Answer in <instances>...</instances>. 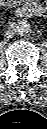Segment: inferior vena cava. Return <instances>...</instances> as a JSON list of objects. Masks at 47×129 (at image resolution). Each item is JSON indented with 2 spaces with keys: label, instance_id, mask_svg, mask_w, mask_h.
I'll return each instance as SVG.
<instances>
[{
  "label": "inferior vena cava",
  "instance_id": "1",
  "mask_svg": "<svg viewBox=\"0 0 47 129\" xmlns=\"http://www.w3.org/2000/svg\"><path fill=\"white\" fill-rule=\"evenodd\" d=\"M14 34H15V29H11V28H9V29L6 31V33H5V35H6L7 38L13 37Z\"/></svg>",
  "mask_w": 47,
  "mask_h": 129
}]
</instances>
